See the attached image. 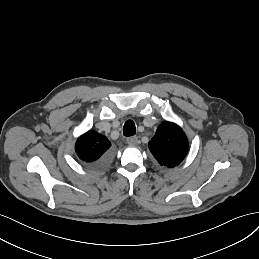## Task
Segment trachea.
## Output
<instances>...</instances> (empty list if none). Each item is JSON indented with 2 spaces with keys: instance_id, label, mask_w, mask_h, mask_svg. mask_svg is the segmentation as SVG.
<instances>
[{
  "instance_id": "trachea-1",
  "label": "trachea",
  "mask_w": 259,
  "mask_h": 259,
  "mask_svg": "<svg viewBox=\"0 0 259 259\" xmlns=\"http://www.w3.org/2000/svg\"><path fill=\"white\" fill-rule=\"evenodd\" d=\"M135 132H136V128H135L134 122L131 120L126 121L123 127V134L125 136H133Z\"/></svg>"
}]
</instances>
